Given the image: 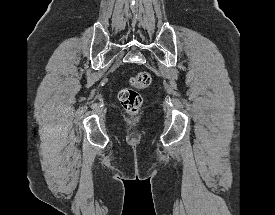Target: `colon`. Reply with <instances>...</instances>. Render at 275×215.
<instances>
[{
    "label": "colon",
    "instance_id": "1",
    "mask_svg": "<svg viewBox=\"0 0 275 215\" xmlns=\"http://www.w3.org/2000/svg\"><path fill=\"white\" fill-rule=\"evenodd\" d=\"M151 82L152 75L147 71H140L129 79L126 87L119 91V101L128 114L134 115L139 111L142 105L139 90L148 87Z\"/></svg>",
    "mask_w": 275,
    "mask_h": 215
}]
</instances>
